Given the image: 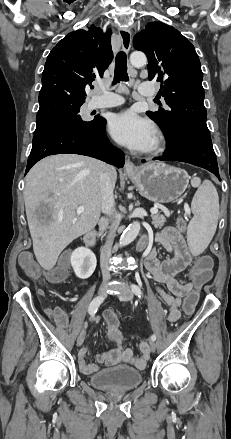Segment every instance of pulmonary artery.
Listing matches in <instances>:
<instances>
[{
  "mask_svg": "<svg viewBox=\"0 0 231 439\" xmlns=\"http://www.w3.org/2000/svg\"><path fill=\"white\" fill-rule=\"evenodd\" d=\"M142 95H152L155 93L154 86L149 82H144L139 86ZM123 103V98L117 94L106 92L103 96L93 99L89 106L92 109L115 107Z\"/></svg>",
  "mask_w": 231,
  "mask_h": 439,
  "instance_id": "pulmonary-artery-1",
  "label": "pulmonary artery"
}]
</instances>
